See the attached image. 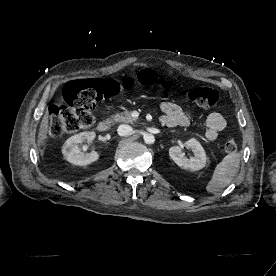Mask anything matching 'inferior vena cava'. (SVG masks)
I'll return each mask as SVG.
<instances>
[{"label": "inferior vena cava", "mask_w": 276, "mask_h": 276, "mask_svg": "<svg viewBox=\"0 0 276 276\" xmlns=\"http://www.w3.org/2000/svg\"><path fill=\"white\" fill-rule=\"evenodd\" d=\"M132 131V127L129 125H120L117 129V132L120 136H126L130 134Z\"/></svg>", "instance_id": "obj_1"}]
</instances>
